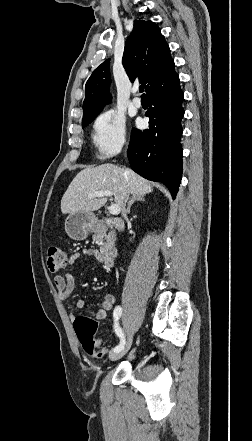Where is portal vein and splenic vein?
Segmentation results:
<instances>
[{
	"label": "portal vein and splenic vein",
	"instance_id": "obj_1",
	"mask_svg": "<svg viewBox=\"0 0 252 441\" xmlns=\"http://www.w3.org/2000/svg\"><path fill=\"white\" fill-rule=\"evenodd\" d=\"M113 195V193L111 192V191H97V192H94L93 194H89L88 195V198H96V197H103V196H108V197H110V196H112ZM120 211H121V208H120V206L119 205H117V204H112L110 207H109V212H110V214H112V215H118L119 213H120Z\"/></svg>",
	"mask_w": 252,
	"mask_h": 441
}]
</instances>
